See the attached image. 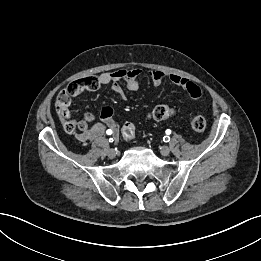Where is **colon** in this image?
<instances>
[{"mask_svg":"<svg viewBox=\"0 0 261 261\" xmlns=\"http://www.w3.org/2000/svg\"><path fill=\"white\" fill-rule=\"evenodd\" d=\"M94 86L92 77L79 79L72 82L67 88L62 90L56 97L55 105L61 116L63 126L66 131L74 132L76 129H85L87 121L77 122L73 120L69 114L68 106L70 105L71 98L75 97L87 89ZM174 115V110L166 105L156 106L150 113L149 118L161 121L166 120ZM190 126L196 132H202L206 128V120L199 115L190 118ZM136 136V129L132 123H125L121 128V137L125 141H131Z\"/></svg>","mask_w":261,"mask_h":261,"instance_id":"obj_1","label":"colon"}]
</instances>
